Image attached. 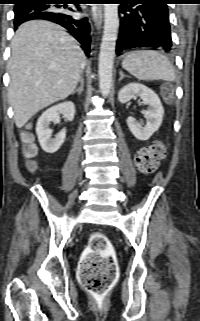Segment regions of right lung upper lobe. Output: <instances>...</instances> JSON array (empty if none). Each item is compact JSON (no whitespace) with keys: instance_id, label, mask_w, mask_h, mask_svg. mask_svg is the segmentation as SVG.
Listing matches in <instances>:
<instances>
[{"instance_id":"obj_1","label":"right lung upper lobe","mask_w":200,"mask_h":321,"mask_svg":"<svg viewBox=\"0 0 200 321\" xmlns=\"http://www.w3.org/2000/svg\"><path fill=\"white\" fill-rule=\"evenodd\" d=\"M15 1H16V3H18V2L23 1V0H15Z\"/></svg>"}]
</instances>
